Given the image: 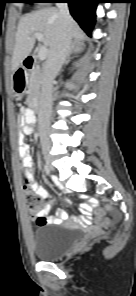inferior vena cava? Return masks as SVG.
Listing matches in <instances>:
<instances>
[{
    "instance_id": "obj_1",
    "label": "inferior vena cava",
    "mask_w": 136,
    "mask_h": 296,
    "mask_svg": "<svg viewBox=\"0 0 136 296\" xmlns=\"http://www.w3.org/2000/svg\"><path fill=\"white\" fill-rule=\"evenodd\" d=\"M60 27L57 41L50 51L43 69V81L39 99L38 123L40 139L49 145V130L53 104V81L61 70L71 47V16L67 3H57Z\"/></svg>"
}]
</instances>
